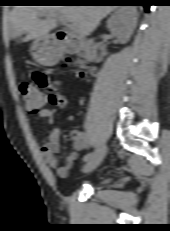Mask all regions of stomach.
<instances>
[{
	"label": "stomach",
	"mask_w": 170,
	"mask_h": 231,
	"mask_svg": "<svg viewBox=\"0 0 170 231\" xmlns=\"http://www.w3.org/2000/svg\"><path fill=\"white\" fill-rule=\"evenodd\" d=\"M30 51L35 61L43 65H53L59 59L58 53L52 47L47 36L35 39Z\"/></svg>",
	"instance_id": "stomach-1"
}]
</instances>
